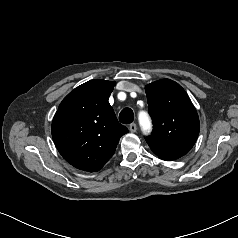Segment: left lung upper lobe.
I'll use <instances>...</instances> for the list:
<instances>
[{"label": "left lung upper lobe", "instance_id": "obj_1", "mask_svg": "<svg viewBox=\"0 0 238 238\" xmlns=\"http://www.w3.org/2000/svg\"><path fill=\"white\" fill-rule=\"evenodd\" d=\"M145 90L153 120V131L146 142L161 159L182 157L191 150L200 130L198 114L189 96L170 79L153 82Z\"/></svg>", "mask_w": 238, "mask_h": 238}]
</instances>
